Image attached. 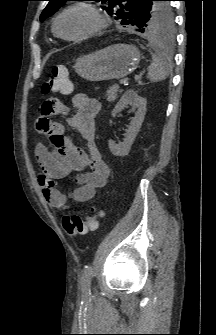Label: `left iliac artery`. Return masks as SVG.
<instances>
[{"instance_id": "obj_1", "label": "left iliac artery", "mask_w": 216, "mask_h": 335, "mask_svg": "<svg viewBox=\"0 0 216 335\" xmlns=\"http://www.w3.org/2000/svg\"><path fill=\"white\" fill-rule=\"evenodd\" d=\"M91 275H92V266H85L83 276H82V293L84 297H89L91 295Z\"/></svg>"}]
</instances>
